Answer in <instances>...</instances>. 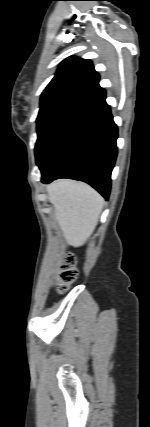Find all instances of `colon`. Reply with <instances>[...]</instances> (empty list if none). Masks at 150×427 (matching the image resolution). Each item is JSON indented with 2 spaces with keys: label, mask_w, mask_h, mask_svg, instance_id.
<instances>
[{
  "label": "colon",
  "mask_w": 150,
  "mask_h": 427,
  "mask_svg": "<svg viewBox=\"0 0 150 427\" xmlns=\"http://www.w3.org/2000/svg\"><path fill=\"white\" fill-rule=\"evenodd\" d=\"M75 264L76 260L73 255L67 254L64 257L61 272L55 283V288L57 292H66L69 286L76 280L78 272Z\"/></svg>",
  "instance_id": "5ec220e1"
}]
</instances>
